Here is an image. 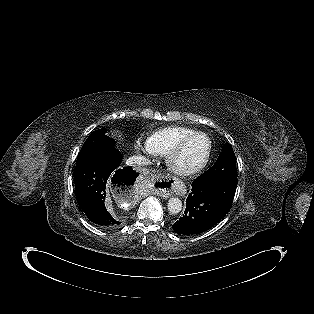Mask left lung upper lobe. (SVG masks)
Listing matches in <instances>:
<instances>
[{
	"label": "left lung upper lobe",
	"instance_id": "left-lung-upper-lobe-1",
	"mask_svg": "<svg viewBox=\"0 0 314 314\" xmlns=\"http://www.w3.org/2000/svg\"><path fill=\"white\" fill-rule=\"evenodd\" d=\"M198 179H237L236 157L229 143H226L215 164Z\"/></svg>",
	"mask_w": 314,
	"mask_h": 314
}]
</instances>
